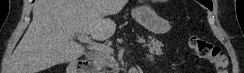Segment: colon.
<instances>
[{"label":"colon","instance_id":"5ec220e1","mask_svg":"<svg viewBox=\"0 0 244 73\" xmlns=\"http://www.w3.org/2000/svg\"><path fill=\"white\" fill-rule=\"evenodd\" d=\"M186 43L198 57L210 62L217 73H227L228 59L218 45L196 35H189Z\"/></svg>","mask_w":244,"mask_h":73}]
</instances>
